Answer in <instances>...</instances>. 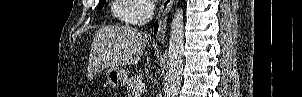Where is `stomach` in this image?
Listing matches in <instances>:
<instances>
[{
    "mask_svg": "<svg viewBox=\"0 0 302 97\" xmlns=\"http://www.w3.org/2000/svg\"><path fill=\"white\" fill-rule=\"evenodd\" d=\"M109 83L114 87H123L127 83V71L119 66H112L107 73Z\"/></svg>",
    "mask_w": 302,
    "mask_h": 97,
    "instance_id": "stomach-1",
    "label": "stomach"
}]
</instances>
